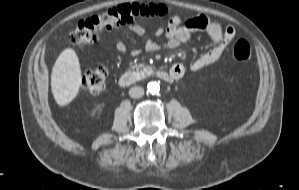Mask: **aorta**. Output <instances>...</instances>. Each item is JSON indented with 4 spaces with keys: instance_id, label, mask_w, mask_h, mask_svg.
<instances>
[{
    "instance_id": "obj_1",
    "label": "aorta",
    "mask_w": 299,
    "mask_h": 190,
    "mask_svg": "<svg viewBox=\"0 0 299 190\" xmlns=\"http://www.w3.org/2000/svg\"><path fill=\"white\" fill-rule=\"evenodd\" d=\"M148 91L151 94H158L160 92V85L157 82H151L148 84Z\"/></svg>"
}]
</instances>
